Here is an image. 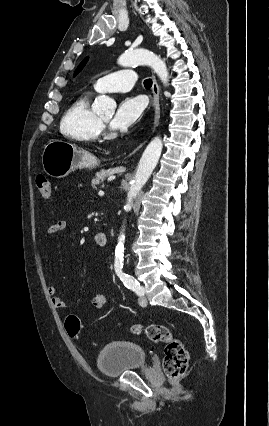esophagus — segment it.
Instances as JSON below:
<instances>
[{"label":"esophagus","instance_id":"1","mask_svg":"<svg viewBox=\"0 0 269 426\" xmlns=\"http://www.w3.org/2000/svg\"><path fill=\"white\" fill-rule=\"evenodd\" d=\"M152 80H153V84H152V92H153L152 107H153V110H154V126H153V128H155V126L158 123L159 117H160V89H159L156 77L154 75L152 76ZM140 147H141V145L138 146L132 153H130L129 156L133 155Z\"/></svg>","mask_w":269,"mask_h":426}]
</instances>
